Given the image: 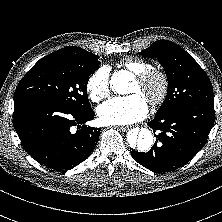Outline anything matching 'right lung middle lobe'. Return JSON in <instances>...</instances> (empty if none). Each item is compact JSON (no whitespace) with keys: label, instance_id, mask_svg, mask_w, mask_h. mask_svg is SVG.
<instances>
[{"label":"right lung middle lobe","instance_id":"dd1d6c3e","mask_svg":"<svg viewBox=\"0 0 222 222\" xmlns=\"http://www.w3.org/2000/svg\"><path fill=\"white\" fill-rule=\"evenodd\" d=\"M98 59V55L79 47L55 51L28 71L19 82L14 97H40L71 109L87 110L91 108L87 83L99 67Z\"/></svg>","mask_w":222,"mask_h":222}]
</instances>
